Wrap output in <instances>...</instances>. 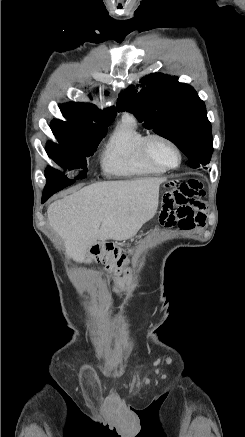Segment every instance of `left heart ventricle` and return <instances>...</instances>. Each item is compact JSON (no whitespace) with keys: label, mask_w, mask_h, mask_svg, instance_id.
<instances>
[{"label":"left heart ventricle","mask_w":245,"mask_h":437,"mask_svg":"<svg viewBox=\"0 0 245 437\" xmlns=\"http://www.w3.org/2000/svg\"><path fill=\"white\" fill-rule=\"evenodd\" d=\"M150 149L152 154L162 163L170 166L177 164V153L170 145L162 141H153Z\"/></svg>","instance_id":"1"}]
</instances>
